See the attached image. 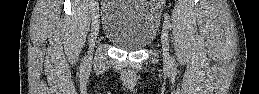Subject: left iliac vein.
<instances>
[{"mask_svg": "<svg viewBox=\"0 0 259 94\" xmlns=\"http://www.w3.org/2000/svg\"><path fill=\"white\" fill-rule=\"evenodd\" d=\"M161 45H162V52H163V61L166 65H169L171 59H170V53H169V40H168V34L166 30V22L164 23V30L162 32Z\"/></svg>", "mask_w": 259, "mask_h": 94, "instance_id": "left-iliac-vein-1", "label": "left iliac vein"}]
</instances>
